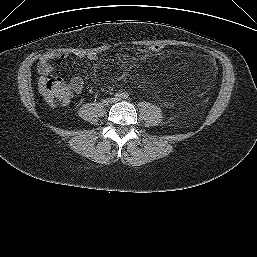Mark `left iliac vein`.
<instances>
[{
    "label": "left iliac vein",
    "instance_id": "left-iliac-vein-1",
    "mask_svg": "<svg viewBox=\"0 0 257 257\" xmlns=\"http://www.w3.org/2000/svg\"><path fill=\"white\" fill-rule=\"evenodd\" d=\"M120 100H121V99L119 98V99H116L115 101L118 102V101H120Z\"/></svg>",
    "mask_w": 257,
    "mask_h": 257
}]
</instances>
